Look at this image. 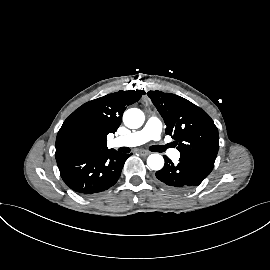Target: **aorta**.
I'll return each mask as SVG.
<instances>
[{
  "label": "aorta",
  "instance_id": "obj_1",
  "mask_svg": "<svg viewBox=\"0 0 270 270\" xmlns=\"http://www.w3.org/2000/svg\"><path fill=\"white\" fill-rule=\"evenodd\" d=\"M145 121L144 113L138 108H131L125 111L123 122L130 129H137L143 125ZM147 165L152 170H160L164 166V159L159 154H151L147 158Z\"/></svg>",
  "mask_w": 270,
  "mask_h": 270
}]
</instances>
